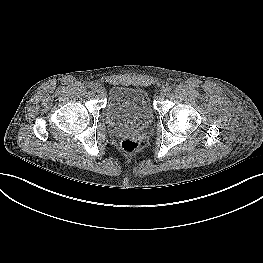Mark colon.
Returning <instances> with one entry per match:
<instances>
[{"mask_svg": "<svg viewBox=\"0 0 263 263\" xmlns=\"http://www.w3.org/2000/svg\"><path fill=\"white\" fill-rule=\"evenodd\" d=\"M121 148L126 153H133L137 150L138 144L136 141L132 139H125L121 143Z\"/></svg>", "mask_w": 263, "mask_h": 263, "instance_id": "obj_1", "label": "colon"}]
</instances>
